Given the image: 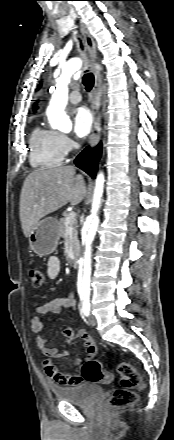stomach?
I'll return each mask as SVG.
<instances>
[{
	"label": "stomach",
	"instance_id": "0dacf381",
	"mask_svg": "<svg viewBox=\"0 0 174 440\" xmlns=\"http://www.w3.org/2000/svg\"><path fill=\"white\" fill-rule=\"evenodd\" d=\"M59 222L53 217L41 220L28 236L30 249L38 256L53 253L58 245Z\"/></svg>",
	"mask_w": 174,
	"mask_h": 440
}]
</instances>
